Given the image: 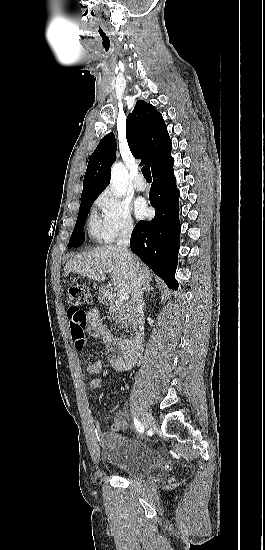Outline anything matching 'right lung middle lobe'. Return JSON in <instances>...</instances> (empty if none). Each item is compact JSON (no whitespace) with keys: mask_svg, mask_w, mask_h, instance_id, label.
I'll use <instances>...</instances> for the list:
<instances>
[{"mask_svg":"<svg viewBox=\"0 0 265 550\" xmlns=\"http://www.w3.org/2000/svg\"><path fill=\"white\" fill-rule=\"evenodd\" d=\"M96 198H85L81 199V205L79 208L78 218L75 224V228L73 230L72 236L69 240V248L71 247H79L84 240V223L87 218V214Z\"/></svg>","mask_w":265,"mask_h":550,"instance_id":"obj_1","label":"right lung middle lobe"}]
</instances>
